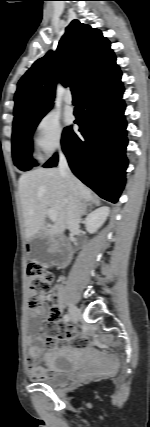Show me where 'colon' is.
I'll return each mask as SVG.
<instances>
[{"label":"colon","instance_id":"colon-1","mask_svg":"<svg viewBox=\"0 0 150 427\" xmlns=\"http://www.w3.org/2000/svg\"><path fill=\"white\" fill-rule=\"evenodd\" d=\"M27 276L29 305L31 308L36 309L51 294L54 274L51 271L45 270L37 262H29Z\"/></svg>","mask_w":150,"mask_h":427}]
</instances>
